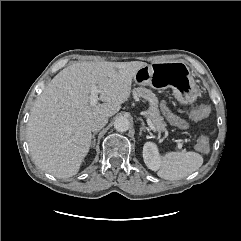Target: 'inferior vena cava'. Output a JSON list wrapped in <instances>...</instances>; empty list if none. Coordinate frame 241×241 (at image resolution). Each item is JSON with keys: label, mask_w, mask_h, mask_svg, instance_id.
<instances>
[{"label": "inferior vena cava", "mask_w": 241, "mask_h": 241, "mask_svg": "<svg viewBox=\"0 0 241 241\" xmlns=\"http://www.w3.org/2000/svg\"><path fill=\"white\" fill-rule=\"evenodd\" d=\"M107 122L108 118L106 116H98L90 124L91 131L98 132L107 124Z\"/></svg>", "instance_id": "602c4592"}]
</instances>
